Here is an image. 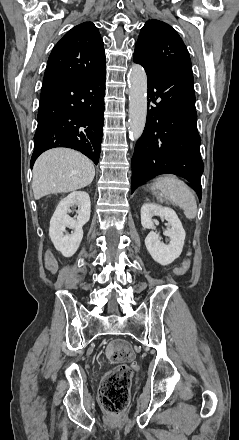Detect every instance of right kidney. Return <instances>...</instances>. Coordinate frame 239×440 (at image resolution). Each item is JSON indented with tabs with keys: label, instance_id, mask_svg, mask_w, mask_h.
Listing matches in <instances>:
<instances>
[{
	"label": "right kidney",
	"instance_id": "obj_1",
	"mask_svg": "<svg viewBox=\"0 0 239 440\" xmlns=\"http://www.w3.org/2000/svg\"><path fill=\"white\" fill-rule=\"evenodd\" d=\"M75 206H78L77 220L68 216L70 208ZM90 208L87 192H71L59 202L50 220L49 236L60 253H73V250L74 254L77 252L83 238L82 228L90 220ZM65 228H73V234H66Z\"/></svg>",
	"mask_w": 239,
	"mask_h": 440
}]
</instances>
